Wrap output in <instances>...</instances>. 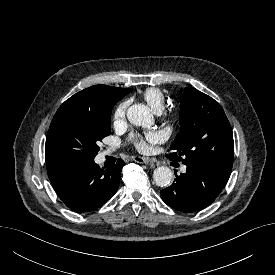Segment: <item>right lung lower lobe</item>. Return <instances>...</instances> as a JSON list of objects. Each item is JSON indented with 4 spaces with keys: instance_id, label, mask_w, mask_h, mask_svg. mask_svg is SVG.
Instances as JSON below:
<instances>
[{
    "instance_id": "1",
    "label": "right lung lower lobe",
    "mask_w": 275,
    "mask_h": 275,
    "mask_svg": "<svg viewBox=\"0 0 275 275\" xmlns=\"http://www.w3.org/2000/svg\"><path fill=\"white\" fill-rule=\"evenodd\" d=\"M125 162L100 169L94 160L48 163V177L55 192L71 210L82 213L101 207L117 191Z\"/></svg>"
}]
</instances>
